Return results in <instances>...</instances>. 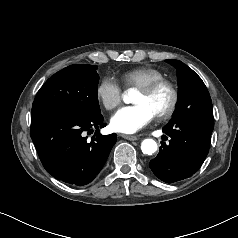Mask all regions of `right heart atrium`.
I'll return each instance as SVG.
<instances>
[{
    "instance_id": "1",
    "label": "right heart atrium",
    "mask_w": 238,
    "mask_h": 238,
    "mask_svg": "<svg viewBox=\"0 0 238 238\" xmlns=\"http://www.w3.org/2000/svg\"><path fill=\"white\" fill-rule=\"evenodd\" d=\"M96 96L105 109L112 110L121 103L123 90L114 78L105 77L97 86Z\"/></svg>"
}]
</instances>
